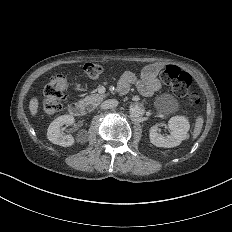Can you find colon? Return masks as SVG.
I'll list each match as a JSON object with an SVG mask.
<instances>
[{"label": "colon", "mask_w": 232, "mask_h": 232, "mask_svg": "<svg viewBox=\"0 0 232 232\" xmlns=\"http://www.w3.org/2000/svg\"><path fill=\"white\" fill-rule=\"evenodd\" d=\"M99 72H104V67H97L93 62H88L82 68V73L90 79L98 77ZM162 82L167 87H175L177 97L188 103V107H201V96L191 86V79L185 72L174 65H168L161 71ZM54 78L58 82H65L66 78L62 74H55ZM65 89V84H57L56 81H47L44 85V97L38 98L37 102L42 103L45 114H52V117H58V107L60 102H66V95H61Z\"/></svg>", "instance_id": "5ec220e1"}]
</instances>
